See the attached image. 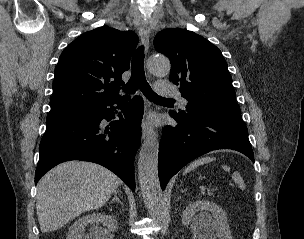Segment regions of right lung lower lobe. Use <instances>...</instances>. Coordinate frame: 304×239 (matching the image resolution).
<instances>
[{
  "instance_id": "98d812e1",
  "label": "right lung lower lobe",
  "mask_w": 304,
  "mask_h": 239,
  "mask_svg": "<svg viewBox=\"0 0 304 239\" xmlns=\"http://www.w3.org/2000/svg\"><path fill=\"white\" fill-rule=\"evenodd\" d=\"M122 112H117L116 107ZM118 113L119 120L104 127ZM143 100L134 97L122 104L120 96L97 104L88 111L65 119L46 121L41 140L35 184L51 168L69 160L98 163L135 190L134 157L140 145Z\"/></svg>"
}]
</instances>
